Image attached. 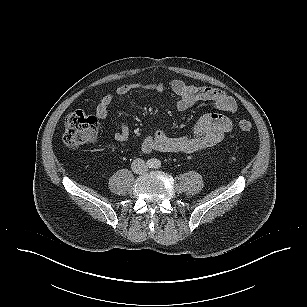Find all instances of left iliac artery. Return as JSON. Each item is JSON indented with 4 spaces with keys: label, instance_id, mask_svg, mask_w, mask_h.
Returning <instances> with one entry per match:
<instances>
[{
    "label": "left iliac artery",
    "instance_id": "left-iliac-artery-1",
    "mask_svg": "<svg viewBox=\"0 0 307 307\" xmlns=\"http://www.w3.org/2000/svg\"><path fill=\"white\" fill-rule=\"evenodd\" d=\"M154 167L157 168V169L160 168L161 167V162L159 160H155Z\"/></svg>",
    "mask_w": 307,
    "mask_h": 307
}]
</instances>
